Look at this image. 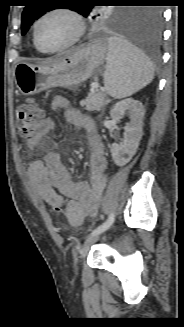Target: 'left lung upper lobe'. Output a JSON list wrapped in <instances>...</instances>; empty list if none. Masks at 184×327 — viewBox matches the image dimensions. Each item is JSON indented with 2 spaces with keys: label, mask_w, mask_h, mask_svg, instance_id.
Listing matches in <instances>:
<instances>
[{
  "label": "left lung upper lobe",
  "mask_w": 184,
  "mask_h": 327,
  "mask_svg": "<svg viewBox=\"0 0 184 327\" xmlns=\"http://www.w3.org/2000/svg\"><path fill=\"white\" fill-rule=\"evenodd\" d=\"M57 3L58 1L54 0H30L22 13V35L28 31L40 16L55 9L54 6H57ZM71 3L73 4L67 7L86 18L94 20L97 26L129 27L137 21L141 12L139 9H111L106 12H99L96 6L88 4L86 0H74Z\"/></svg>",
  "instance_id": "left-lung-upper-lobe-1"
}]
</instances>
